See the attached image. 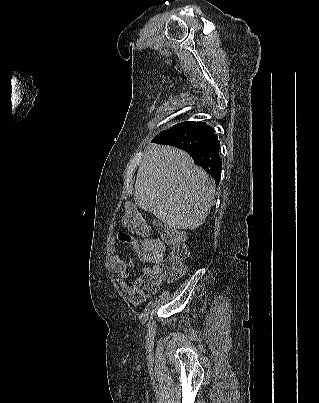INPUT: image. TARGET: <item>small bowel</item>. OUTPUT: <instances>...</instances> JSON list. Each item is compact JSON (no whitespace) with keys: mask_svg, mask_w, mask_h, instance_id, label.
Returning <instances> with one entry per match:
<instances>
[{"mask_svg":"<svg viewBox=\"0 0 319 403\" xmlns=\"http://www.w3.org/2000/svg\"><path fill=\"white\" fill-rule=\"evenodd\" d=\"M117 237L119 239V245L122 246L123 249H134L137 241L133 235H130L129 230H118ZM150 239V237H148ZM152 241H158L153 238ZM164 248V247H163ZM140 261L143 264L152 263L148 260L141 252H137ZM135 265L134 260H123L118 254L113 253L110 258V270L116 274H118L123 280L128 278L127 271L130 268H133ZM149 266H145L144 273L149 270ZM138 279H135L131 282H126V290L129 293V299L132 300L133 304H139L140 300L144 299V292L139 291V287L136 286ZM132 288V291H131Z\"/></svg>","mask_w":319,"mask_h":403,"instance_id":"small-bowel-1","label":"small bowel"}]
</instances>
